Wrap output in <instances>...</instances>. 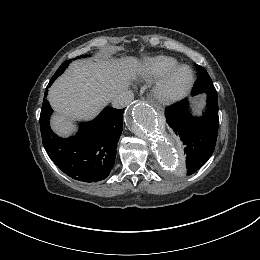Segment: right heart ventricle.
I'll return each instance as SVG.
<instances>
[{"instance_id": "obj_1", "label": "right heart ventricle", "mask_w": 260, "mask_h": 260, "mask_svg": "<svg viewBox=\"0 0 260 260\" xmlns=\"http://www.w3.org/2000/svg\"><path fill=\"white\" fill-rule=\"evenodd\" d=\"M177 63L175 58L165 55L150 57L142 63L139 73L146 79L158 78Z\"/></svg>"}]
</instances>
